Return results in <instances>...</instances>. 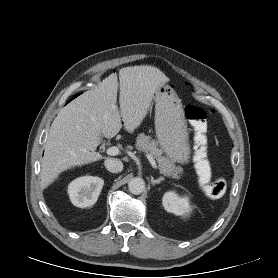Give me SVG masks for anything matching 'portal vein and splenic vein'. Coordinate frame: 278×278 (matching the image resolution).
Wrapping results in <instances>:
<instances>
[{"label":"portal vein and splenic vein","instance_id":"obj_1","mask_svg":"<svg viewBox=\"0 0 278 278\" xmlns=\"http://www.w3.org/2000/svg\"><path fill=\"white\" fill-rule=\"evenodd\" d=\"M107 154H108V155H111V156H116V155H119V154H120V150H119L118 147L112 146V147H109V148L107 149ZM146 157L148 158V160H149V162L151 163L152 167H153L154 169H157V165H156V162H155V160L153 159V157H152L150 154H148V153H146Z\"/></svg>","mask_w":278,"mask_h":278}]
</instances>
